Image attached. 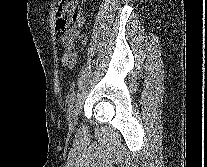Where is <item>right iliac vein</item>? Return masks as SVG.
<instances>
[{
  "mask_svg": "<svg viewBox=\"0 0 207 167\" xmlns=\"http://www.w3.org/2000/svg\"><path fill=\"white\" fill-rule=\"evenodd\" d=\"M76 121H77V112L75 106L72 105V107L69 109L68 112V122L71 130L75 128Z\"/></svg>",
  "mask_w": 207,
  "mask_h": 167,
  "instance_id": "obj_1",
  "label": "right iliac vein"
}]
</instances>
